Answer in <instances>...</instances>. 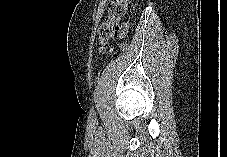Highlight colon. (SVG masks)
<instances>
[{
	"label": "colon",
	"instance_id": "colon-1",
	"mask_svg": "<svg viewBox=\"0 0 227 157\" xmlns=\"http://www.w3.org/2000/svg\"><path fill=\"white\" fill-rule=\"evenodd\" d=\"M130 0H114L106 20L98 28V48L104 51L110 39L117 36L120 30V19L125 13Z\"/></svg>",
	"mask_w": 227,
	"mask_h": 157
}]
</instances>
